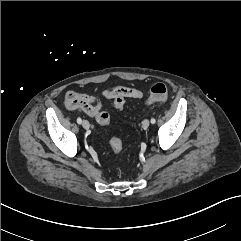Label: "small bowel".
Segmentation results:
<instances>
[{
	"label": "small bowel",
	"instance_id": "c3829d8e",
	"mask_svg": "<svg viewBox=\"0 0 241 241\" xmlns=\"http://www.w3.org/2000/svg\"><path fill=\"white\" fill-rule=\"evenodd\" d=\"M116 88L124 89V96L126 98L140 99L143 97V92L137 88L118 86L111 89H106L103 91V96L107 99H114L113 90ZM65 106L69 110H80L87 114L88 116L97 119V116L102 112V103L96 97L81 94L76 91H68L65 95L64 100Z\"/></svg>",
	"mask_w": 241,
	"mask_h": 241
}]
</instances>
